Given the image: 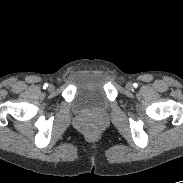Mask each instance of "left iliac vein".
<instances>
[{
	"mask_svg": "<svg viewBox=\"0 0 183 183\" xmlns=\"http://www.w3.org/2000/svg\"><path fill=\"white\" fill-rule=\"evenodd\" d=\"M126 88L128 89V90H131L132 88H133V85H132V83H127L126 84Z\"/></svg>",
	"mask_w": 183,
	"mask_h": 183,
	"instance_id": "4c4485c4",
	"label": "left iliac vein"
}]
</instances>
